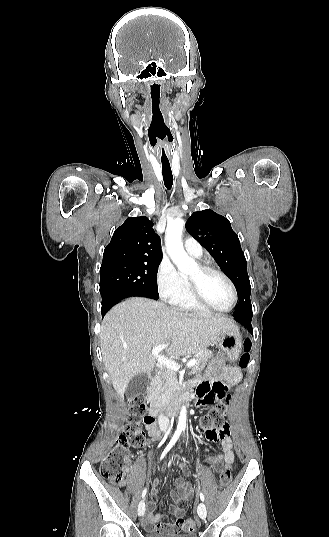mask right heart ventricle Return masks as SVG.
<instances>
[{
  "label": "right heart ventricle",
  "instance_id": "e07e8e85",
  "mask_svg": "<svg viewBox=\"0 0 329 537\" xmlns=\"http://www.w3.org/2000/svg\"><path fill=\"white\" fill-rule=\"evenodd\" d=\"M172 304L179 309L186 310V311H196V312H206L207 310L203 307H201L198 303L195 302V300L191 297L188 284L186 285V289L183 292V294L174 300Z\"/></svg>",
  "mask_w": 329,
  "mask_h": 537
}]
</instances>
